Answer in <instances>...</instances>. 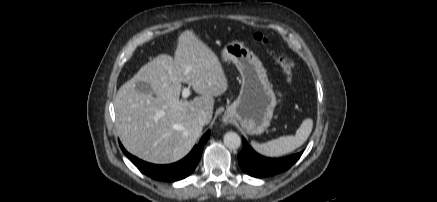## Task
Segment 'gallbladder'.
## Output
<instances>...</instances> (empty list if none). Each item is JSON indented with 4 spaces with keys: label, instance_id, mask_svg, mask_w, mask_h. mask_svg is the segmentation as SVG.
Listing matches in <instances>:
<instances>
[{
    "label": "gallbladder",
    "instance_id": "bac80fb5",
    "mask_svg": "<svg viewBox=\"0 0 437 202\" xmlns=\"http://www.w3.org/2000/svg\"><path fill=\"white\" fill-rule=\"evenodd\" d=\"M135 89L144 94H150L152 93V88L149 83L139 81L135 84Z\"/></svg>",
    "mask_w": 437,
    "mask_h": 202
}]
</instances>
